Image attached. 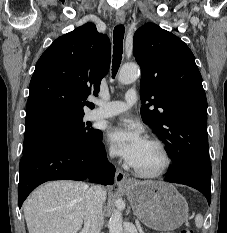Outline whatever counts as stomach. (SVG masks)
Listing matches in <instances>:
<instances>
[{"mask_svg": "<svg viewBox=\"0 0 227 233\" xmlns=\"http://www.w3.org/2000/svg\"><path fill=\"white\" fill-rule=\"evenodd\" d=\"M134 214L158 231L179 228L187 219L188 204L176 188L165 182H135L124 188Z\"/></svg>", "mask_w": 227, "mask_h": 233, "instance_id": "0dacf381", "label": "stomach"}]
</instances>
